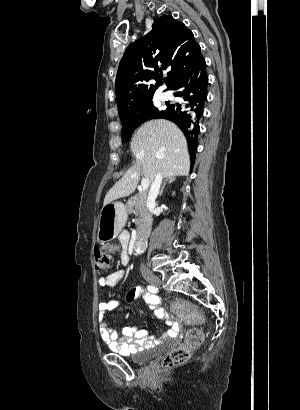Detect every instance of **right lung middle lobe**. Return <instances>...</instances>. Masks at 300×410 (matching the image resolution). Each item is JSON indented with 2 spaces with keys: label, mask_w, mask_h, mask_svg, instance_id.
<instances>
[{
  "label": "right lung middle lobe",
  "mask_w": 300,
  "mask_h": 410,
  "mask_svg": "<svg viewBox=\"0 0 300 410\" xmlns=\"http://www.w3.org/2000/svg\"><path fill=\"white\" fill-rule=\"evenodd\" d=\"M160 111L153 106L152 98L148 100L144 109L134 118L122 123V141L127 142L134 131L142 122L155 117Z\"/></svg>",
  "instance_id": "dd1d6c3e"
}]
</instances>
